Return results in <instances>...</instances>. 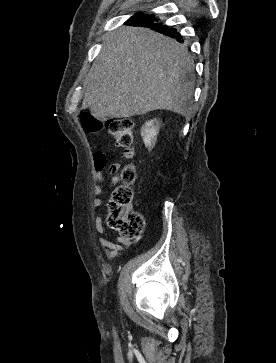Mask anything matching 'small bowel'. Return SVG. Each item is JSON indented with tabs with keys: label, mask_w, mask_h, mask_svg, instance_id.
<instances>
[{
	"label": "small bowel",
	"mask_w": 276,
	"mask_h": 363,
	"mask_svg": "<svg viewBox=\"0 0 276 363\" xmlns=\"http://www.w3.org/2000/svg\"><path fill=\"white\" fill-rule=\"evenodd\" d=\"M108 152H96L93 157V167L95 172L96 183L93 186V193L96 197L93 199V206L99 208L103 204V200L99 197L104 193V187L102 183L107 180L108 175L104 173L107 165ZM120 163H114L110 166V171L115 172L121 168ZM120 180L119 176L115 175L110 178V183L115 184ZM96 229L101 234L98 241L101 246L105 248L106 256L109 259H113L121 255V252L129 245V241L122 237L112 238L108 235L102 226V217L99 215L96 218Z\"/></svg>",
	"instance_id": "1"
}]
</instances>
